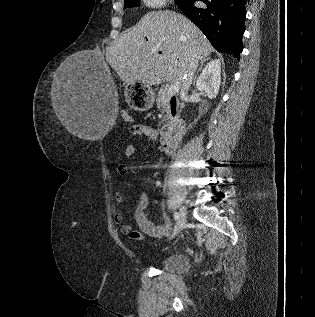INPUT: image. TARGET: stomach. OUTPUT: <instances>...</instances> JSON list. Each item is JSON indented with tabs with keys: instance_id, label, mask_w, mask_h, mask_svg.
I'll use <instances>...</instances> for the list:
<instances>
[{
	"instance_id": "obj_1",
	"label": "stomach",
	"mask_w": 315,
	"mask_h": 317,
	"mask_svg": "<svg viewBox=\"0 0 315 317\" xmlns=\"http://www.w3.org/2000/svg\"><path fill=\"white\" fill-rule=\"evenodd\" d=\"M126 98H130L131 108L141 111L153 108L154 104H157V97H154L150 84H127Z\"/></svg>"
}]
</instances>
